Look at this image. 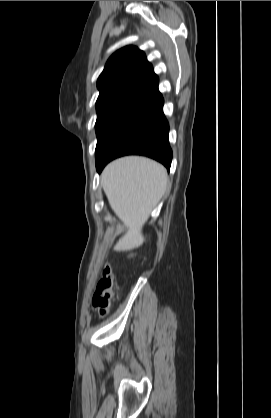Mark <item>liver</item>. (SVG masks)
I'll use <instances>...</instances> for the list:
<instances>
[{
	"label": "liver",
	"instance_id": "obj_1",
	"mask_svg": "<svg viewBox=\"0 0 271 418\" xmlns=\"http://www.w3.org/2000/svg\"><path fill=\"white\" fill-rule=\"evenodd\" d=\"M167 184L164 166L148 158L123 157L105 167L101 186L110 207L128 229L115 245L116 250H130L144 242L142 227L165 194Z\"/></svg>",
	"mask_w": 271,
	"mask_h": 418
}]
</instances>
